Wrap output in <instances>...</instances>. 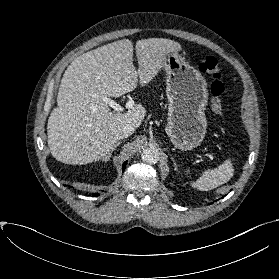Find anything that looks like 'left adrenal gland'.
<instances>
[{
    "mask_svg": "<svg viewBox=\"0 0 279 279\" xmlns=\"http://www.w3.org/2000/svg\"><path fill=\"white\" fill-rule=\"evenodd\" d=\"M172 159H173V158H172ZM173 162H174L175 170H177V164H176V162L174 161V159H173Z\"/></svg>",
    "mask_w": 279,
    "mask_h": 279,
    "instance_id": "obj_1",
    "label": "left adrenal gland"
}]
</instances>
